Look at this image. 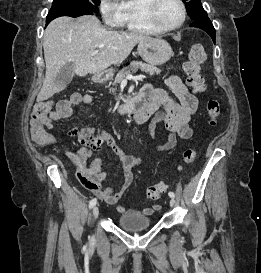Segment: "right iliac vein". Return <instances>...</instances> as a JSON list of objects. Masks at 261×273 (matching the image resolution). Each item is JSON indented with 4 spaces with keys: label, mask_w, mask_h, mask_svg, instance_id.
Wrapping results in <instances>:
<instances>
[{
    "label": "right iliac vein",
    "mask_w": 261,
    "mask_h": 273,
    "mask_svg": "<svg viewBox=\"0 0 261 273\" xmlns=\"http://www.w3.org/2000/svg\"><path fill=\"white\" fill-rule=\"evenodd\" d=\"M98 214H99V208H98V206H94L93 217L96 219L98 217Z\"/></svg>",
    "instance_id": "63e3f726"
}]
</instances>
